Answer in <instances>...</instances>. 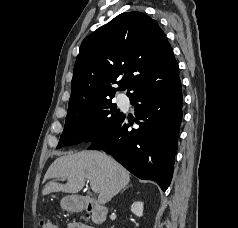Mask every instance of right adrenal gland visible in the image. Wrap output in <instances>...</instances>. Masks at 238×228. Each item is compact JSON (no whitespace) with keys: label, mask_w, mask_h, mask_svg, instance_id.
<instances>
[{"label":"right adrenal gland","mask_w":238,"mask_h":228,"mask_svg":"<svg viewBox=\"0 0 238 228\" xmlns=\"http://www.w3.org/2000/svg\"><path fill=\"white\" fill-rule=\"evenodd\" d=\"M130 186H131V185H130ZM126 188H127V187L123 188L122 192L125 191Z\"/></svg>","instance_id":"right-adrenal-gland-1"}]
</instances>
